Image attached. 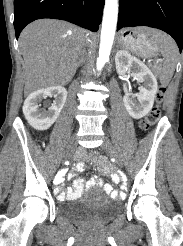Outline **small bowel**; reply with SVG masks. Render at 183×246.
I'll return each mask as SVG.
<instances>
[{"mask_svg":"<svg viewBox=\"0 0 183 246\" xmlns=\"http://www.w3.org/2000/svg\"><path fill=\"white\" fill-rule=\"evenodd\" d=\"M84 169V164L79 163L76 167V171H82ZM102 172L109 173L110 177L118 182H108L104 183L99 177H93L89 179L86 183L82 178H77L74 180L73 187L63 190L61 185L65 184L63 179V174H68V169H58V174H56V179L52 180V185H54V193L60 200H72L78 198L83 191L87 188L94 186L102 187L107 193H109V198H128V193H121L119 191H125V187H131L132 183L129 182V178H118L117 174H121V169H114V173L106 167L102 168ZM76 174L74 171L68 174V178H75Z\"/></svg>","mask_w":183,"mask_h":246,"instance_id":"obj_1","label":"small bowel"}]
</instances>
